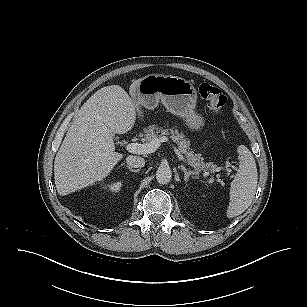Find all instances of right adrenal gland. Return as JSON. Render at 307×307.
Masks as SVG:
<instances>
[{
    "label": "right adrenal gland",
    "instance_id": "1",
    "mask_svg": "<svg viewBox=\"0 0 307 307\" xmlns=\"http://www.w3.org/2000/svg\"><path fill=\"white\" fill-rule=\"evenodd\" d=\"M127 168L129 169V171L134 172V173H137L139 171V170L132 169L130 166H127Z\"/></svg>",
    "mask_w": 307,
    "mask_h": 307
}]
</instances>
